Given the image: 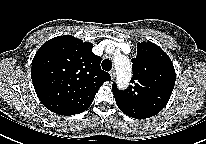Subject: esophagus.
I'll use <instances>...</instances> for the list:
<instances>
[{
    "label": "esophagus",
    "instance_id": "esophagus-1",
    "mask_svg": "<svg viewBox=\"0 0 206 144\" xmlns=\"http://www.w3.org/2000/svg\"><path fill=\"white\" fill-rule=\"evenodd\" d=\"M115 76H116L115 71L114 70L110 71V77L112 80L115 78Z\"/></svg>",
    "mask_w": 206,
    "mask_h": 144
}]
</instances>
